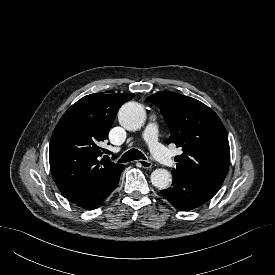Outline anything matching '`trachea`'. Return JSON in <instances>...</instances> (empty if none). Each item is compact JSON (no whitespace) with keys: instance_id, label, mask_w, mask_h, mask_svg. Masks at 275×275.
I'll return each mask as SVG.
<instances>
[{"instance_id":"trachea-1","label":"trachea","mask_w":275,"mask_h":275,"mask_svg":"<svg viewBox=\"0 0 275 275\" xmlns=\"http://www.w3.org/2000/svg\"><path fill=\"white\" fill-rule=\"evenodd\" d=\"M138 159H143L146 160V157L144 156V154L137 150V149H130L129 151H127L126 153H124L122 155V157L119 159V163H126V162H130L133 160H138Z\"/></svg>"}]
</instances>
